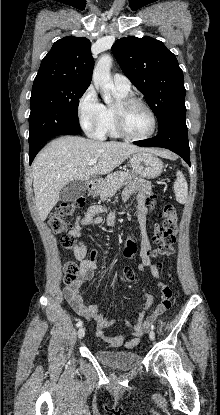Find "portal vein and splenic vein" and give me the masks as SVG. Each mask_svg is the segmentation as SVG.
<instances>
[{"instance_id":"18ae733b","label":"portal vein and splenic vein","mask_w":220,"mask_h":415,"mask_svg":"<svg viewBox=\"0 0 220 415\" xmlns=\"http://www.w3.org/2000/svg\"><path fill=\"white\" fill-rule=\"evenodd\" d=\"M97 163V159H92L89 161V165L92 166Z\"/></svg>"}]
</instances>
